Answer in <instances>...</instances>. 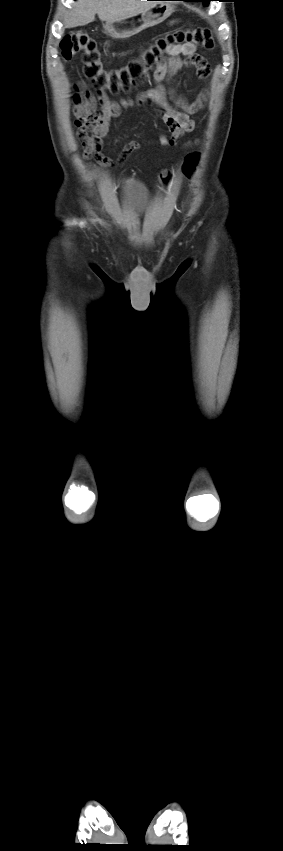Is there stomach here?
I'll use <instances>...</instances> for the list:
<instances>
[{"mask_svg":"<svg viewBox=\"0 0 283 851\" xmlns=\"http://www.w3.org/2000/svg\"><path fill=\"white\" fill-rule=\"evenodd\" d=\"M173 10L174 7L170 2H155L153 6L135 15L106 22L104 29L113 38L126 39L148 27L163 22L171 15Z\"/></svg>","mask_w":283,"mask_h":851,"instance_id":"0dacf381","label":"stomach"}]
</instances>
